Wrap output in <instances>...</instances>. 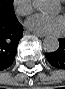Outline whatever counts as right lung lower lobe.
<instances>
[{
	"label": "right lung lower lobe",
	"instance_id": "1",
	"mask_svg": "<svg viewBox=\"0 0 65 89\" xmlns=\"http://www.w3.org/2000/svg\"><path fill=\"white\" fill-rule=\"evenodd\" d=\"M23 37V26L17 19H0V71L11 66L17 46Z\"/></svg>",
	"mask_w": 65,
	"mask_h": 89
}]
</instances>
